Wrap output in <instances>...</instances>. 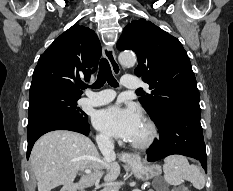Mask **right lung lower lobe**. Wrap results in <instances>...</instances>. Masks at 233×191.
Returning <instances> with one entry per match:
<instances>
[{"label": "right lung lower lobe", "mask_w": 233, "mask_h": 191, "mask_svg": "<svg viewBox=\"0 0 233 191\" xmlns=\"http://www.w3.org/2000/svg\"><path fill=\"white\" fill-rule=\"evenodd\" d=\"M53 130H70L89 134V124L72 117L53 112H40L28 120L27 126V159L35 141L43 134Z\"/></svg>", "instance_id": "1"}]
</instances>
